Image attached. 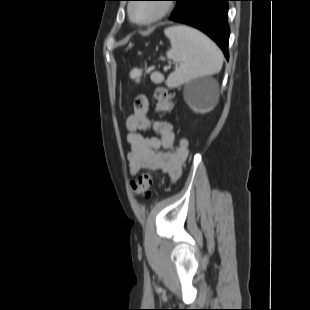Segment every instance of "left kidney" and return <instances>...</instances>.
Here are the masks:
<instances>
[{
	"label": "left kidney",
	"instance_id": "left-kidney-1",
	"mask_svg": "<svg viewBox=\"0 0 310 310\" xmlns=\"http://www.w3.org/2000/svg\"><path fill=\"white\" fill-rule=\"evenodd\" d=\"M193 109L197 112H201V110H199L198 108L193 107Z\"/></svg>",
	"mask_w": 310,
	"mask_h": 310
}]
</instances>
